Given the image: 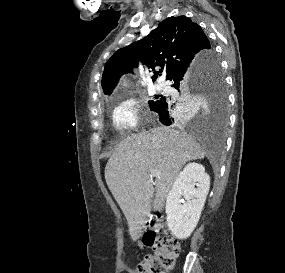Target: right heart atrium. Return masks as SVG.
<instances>
[{
  "label": "right heart atrium",
  "mask_w": 285,
  "mask_h": 273,
  "mask_svg": "<svg viewBox=\"0 0 285 273\" xmlns=\"http://www.w3.org/2000/svg\"><path fill=\"white\" fill-rule=\"evenodd\" d=\"M142 111L141 104L135 99H126L114 108L113 125L118 131L129 132L137 128Z\"/></svg>",
  "instance_id": "right-heart-atrium-1"
}]
</instances>
